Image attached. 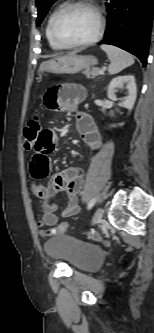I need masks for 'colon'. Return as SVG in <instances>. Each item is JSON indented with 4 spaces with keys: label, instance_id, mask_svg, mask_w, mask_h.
Returning <instances> with one entry per match:
<instances>
[{
    "label": "colon",
    "instance_id": "colon-1",
    "mask_svg": "<svg viewBox=\"0 0 154 333\" xmlns=\"http://www.w3.org/2000/svg\"><path fill=\"white\" fill-rule=\"evenodd\" d=\"M41 129H42V121L39 116H34L27 122L23 130L24 146L26 147V149L33 148L36 137ZM66 226L67 225L63 223L59 225L56 229L46 232V235H54L57 233H62L65 230ZM92 237L94 239L101 240V237L97 233H93Z\"/></svg>",
    "mask_w": 154,
    "mask_h": 333
}]
</instances>
